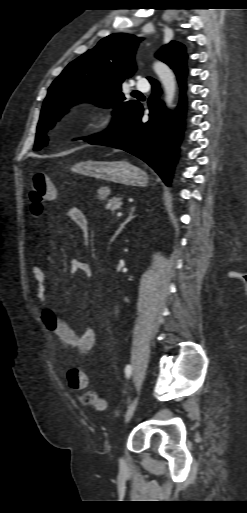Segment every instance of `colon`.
<instances>
[{"mask_svg":"<svg viewBox=\"0 0 247 513\" xmlns=\"http://www.w3.org/2000/svg\"><path fill=\"white\" fill-rule=\"evenodd\" d=\"M56 195V187L50 175L38 173L34 175L29 187V199L33 214H40L43 204L52 200ZM68 382L72 389L85 392L84 400L95 409L104 408V402L97 398L89 390L88 376L79 370H71L68 373Z\"/></svg>","mask_w":247,"mask_h":513,"instance_id":"5ec220e1","label":"colon"}]
</instances>
